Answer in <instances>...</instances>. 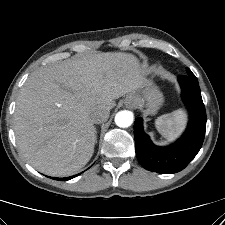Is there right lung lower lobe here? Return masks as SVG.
<instances>
[{
	"label": "right lung lower lobe",
	"mask_w": 225,
	"mask_h": 225,
	"mask_svg": "<svg viewBox=\"0 0 225 225\" xmlns=\"http://www.w3.org/2000/svg\"><path fill=\"white\" fill-rule=\"evenodd\" d=\"M77 175H74V176H70V177H66V178H56L57 180H62V181H66V180H70L74 177H76ZM54 179V178H53Z\"/></svg>",
	"instance_id": "obj_1"
}]
</instances>
